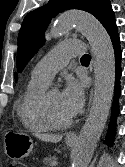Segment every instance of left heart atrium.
Listing matches in <instances>:
<instances>
[{"instance_id":"obj_1","label":"left heart atrium","mask_w":125,"mask_h":167,"mask_svg":"<svg viewBox=\"0 0 125 167\" xmlns=\"http://www.w3.org/2000/svg\"><path fill=\"white\" fill-rule=\"evenodd\" d=\"M84 84L73 77H67L60 100L63 109L70 116L76 115L84 104Z\"/></svg>"}]
</instances>
